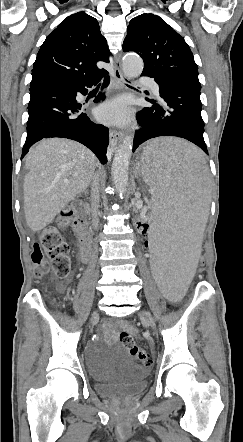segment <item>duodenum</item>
<instances>
[{"instance_id": "1", "label": "duodenum", "mask_w": 243, "mask_h": 442, "mask_svg": "<svg viewBox=\"0 0 243 442\" xmlns=\"http://www.w3.org/2000/svg\"><path fill=\"white\" fill-rule=\"evenodd\" d=\"M73 230L80 245V259L82 262L88 263L91 258V248L88 242L87 207L83 204H78Z\"/></svg>"}]
</instances>
